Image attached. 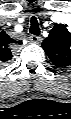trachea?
Instances as JSON below:
<instances>
[{
    "label": "trachea",
    "mask_w": 71,
    "mask_h": 119,
    "mask_svg": "<svg viewBox=\"0 0 71 119\" xmlns=\"http://www.w3.org/2000/svg\"><path fill=\"white\" fill-rule=\"evenodd\" d=\"M30 33L36 36L40 35V28L38 25V21H37V18L34 16L31 18Z\"/></svg>",
    "instance_id": "3493384b"
}]
</instances>
